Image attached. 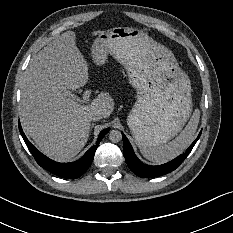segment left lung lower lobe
Masks as SVG:
<instances>
[{"label":"left lung lower lobe","mask_w":233,"mask_h":233,"mask_svg":"<svg viewBox=\"0 0 233 233\" xmlns=\"http://www.w3.org/2000/svg\"><path fill=\"white\" fill-rule=\"evenodd\" d=\"M201 135L199 133L197 139L191 144V146L187 149L186 153L179 155L174 160L158 165V166H150L143 164L135 155L131 144L124 134H122L123 138V154L129 168L139 177L150 178V177H158L164 174H167L180 166V164L184 161L187 155L192 150L193 146L197 142Z\"/></svg>","instance_id":"0a47b994"}]
</instances>
